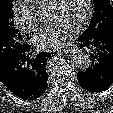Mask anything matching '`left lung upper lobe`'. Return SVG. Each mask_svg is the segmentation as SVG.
Returning <instances> with one entry per match:
<instances>
[{
  "instance_id": "5c2ea615",
  "label": "left lung upper lobe",
  "mask_w": 113,
  "mask_h": 113,
  "mask_svg": "<svg viewBox=\"0 0 113 113\" xmlns=\"http://www.w3.org/2000/svg\"><path fill=\"white\" fill-rule=\"evenodd\" d=\"M95 13L84 33L113 32V8L109 0H94Z\"/></svg>"
}]
</instances>
